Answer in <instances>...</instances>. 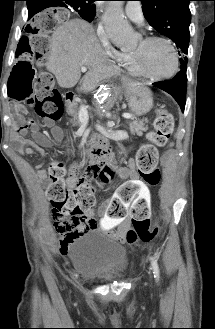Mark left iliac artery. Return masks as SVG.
<instances>
[{
	"label": "left iliac artery",
	"instance_id": "left-iliac-artery-1",
	"mask_svg": "<svg viewBox=\"0 0 215 329\" xmlns=\"http://www.w3.org/2000/svg\"><path fill=\"white\" fill-rule=\"evenodd\" d=\"M151 264H152V268H153L154 277L158 281L159 280V266H158V263L154 258H151Z\"/></svg>",
	"mask_w": 215,
	"mask_h": 329
}]
</instances>
